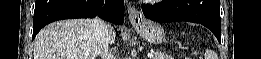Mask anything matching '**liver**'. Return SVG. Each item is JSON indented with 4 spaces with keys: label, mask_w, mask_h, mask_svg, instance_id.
<instances>
[{
    "label": "liver",
    "mask_w": 261,
    "mask_h": 59,
    "mask_svg": "<svg viewBox=\"0 0 261 59\" xmlns=\"http://www.w3.org/2000/svg\"><path fill=\"white\" fill-rule=\"evenodd\" d=\"M110 43L116 37L109 27ZM99 45L91 19L63 20L46 26L36 36L34 59H96Z\"/></svg>",
    "instance_id": "6515ba94"
}]
</instances>
